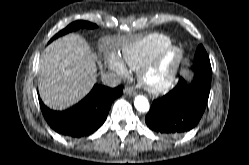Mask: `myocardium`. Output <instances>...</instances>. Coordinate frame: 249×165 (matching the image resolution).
I'll list each match as a JSON object with an SVG mask.
<instances>
[{
  "label": "myocardium",
  "mask_w": 249,
  "mask_h": 165,
  "mask_svg": "<svg viewBox=\"0 0 249 165\" xmlns=\"http://www.w3.org/2000/svg\"><path fill=\"white\" fill-rule=\"evenodd\" d=\"M183 50L170 46L158 57L147 61L139 69L140 83L147 89L162 91L172 85L183 60Z\"/></svg>",
  "instance_id": "myocardium-1"
}]
</instances>
